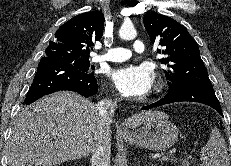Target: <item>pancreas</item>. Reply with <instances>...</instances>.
Segmentation results:
<instances>
[{"label": "pancreas", "instance_id": "1", "mask_svg": "<svg viewBox=\"0 0 231 166\" xmlns=\"http://www.w3.org/2000/svg\"><path fill=\"white\" fill-rule=\"evenodd\" d=\"M163 161H167L168 160V158H164V159H162Z\"/></svg>", "mask_w": 231, "mask_h": 166}]
</instances>
